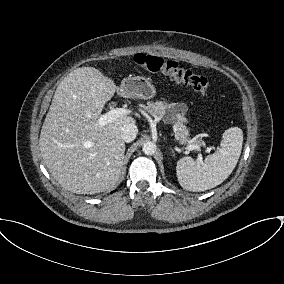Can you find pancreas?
<instances>
[{
    "label": "pancreas",
    "instance_id": "cf45deb5",
    "mask_svg": "<svg viewBox=\"0 0 284 284\" xmlns=\"http://www.w3.org/2000/svg\"><path fill=\"white\" fill-rule=\"evenodd\" d=\"M180 106L183 107V112L178 113V107ZM145 109L150 115L159 117L165 123L174 124L177 129L175 137L180 143L189 142V130L185 125L187 119L184 117L187 111L186 105L183 103L170 104L163 100H157L155 102H148ZM195 143H199V141Z\"/></svg>",
    "mask_w": 284,
    "mask_h": 284
}]
</instances>
